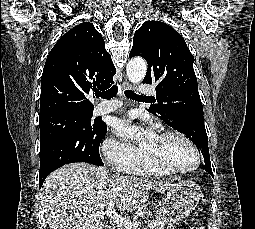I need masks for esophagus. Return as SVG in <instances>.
Returning <instances> with one entry per match:
<instances>
[{
    "label": "esophagus",
    "mask_w": 255,
    "mask_h": 229,
    "mask_svg": "<svg viewBox=\"0 0 255 229\" xmlns=\"http://www.w3.org/2000/svg\"><path fill=\"white\" fill-rule=\"evenodd\" d=\"M133 86L131 83H129L126 79L123 81V89L127 90V89H132Z\"/></svg>",
    "instance_id": "1"
}]
</instances>
